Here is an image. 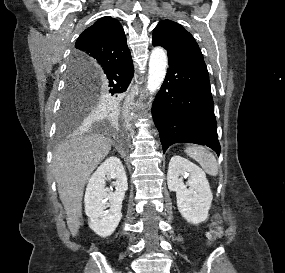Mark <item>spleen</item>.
<instances>
[{"instance_id":"3e777b00","label":"spleen","mask_w":285,"mask_h":273,"mask_svg":"<svg viewBox=\"0 0 285 273\" xmlns=\"http://www.w3.org/2000/svg\"><path fill=\"white\" fill-rule=\"evenodd\" d=\"M185 152L196 160L206 173L212 176L218 174V165L214 155L203 146L191 145L185 149Z\"/></svg>"}]
</instances>
